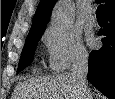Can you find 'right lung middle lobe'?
Masks as SVG:
<instances>
[{
    "mask_svg": "<svg viewBox=\"0 0 115 99\" xmlns=\"http://www.w3.org/2000/svg\"><path fill=\"white\" fill-rule=\"evenodd\" d=\"M41 36L42 34H35L27 37L21 53L17 72L22 71L24 68L30 65L34 56L35 48Z\"/></svg>",
    "mask_w": 115,
    "mask_h": 99,
    "instance_id": "right-lung-middle-lobe-1",
    "label": "right lung middle lobe"
}]
</instances>
